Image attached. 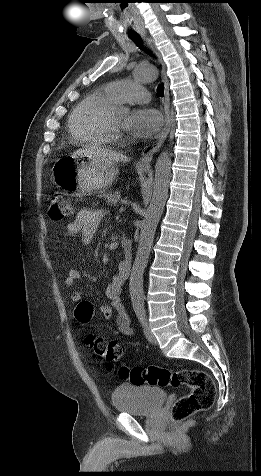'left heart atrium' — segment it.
<instances>
[{
    "label": "left heart atrium",
    "instance_id": "obj_1",
    "mask_svg": "<svg viewBox=\"0 0 261 476\" xmlns=\"http://www.w3.org/2000/svg\"><path fill=\"white\" fill-rule=\"evenodd\" d=\"M162 125V116L153 108L142 107L135 109L127 117L125 127L140 137L154 135Z\"/></svg>",
    "mask_w": 261,
    "mask_h": 476
}]
</instances>
